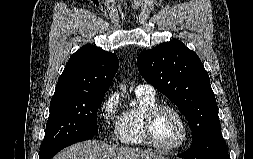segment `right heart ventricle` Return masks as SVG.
Listing matches in <instances>:
<instances>
[{"label":"right heart ventricle","mask_w":253,"mask_h":159,"mask_svg":"<svg viewBox=\"0 0 253 159\" xmlns=\"http://www.w3.org/2000/svg\"><path fill=\"white\" fill-rule=\"evenodd\" d=\"M139 106L128 109L122 115L120 126L117 130L118 142L121 145L139 147L144 144L141 136V122L144 112L157 104L155 95L136 94Z\"/></svg>","instance_id":"1"}]
</instances>
